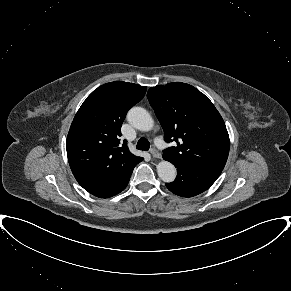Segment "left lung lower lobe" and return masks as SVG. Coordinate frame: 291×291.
<instances>
[{"label": "left lung lower lobe", "mask_w": 291, "mask_h": 291, "mask_svg": "<svg viewBox=\"0 0 291 291\" xmlns=\"http://www.w3.org/2000/svg\"><path fill=\"white\" fill-rule=\"evenodd\" d=\"M170 161L177 168V177L171 183H166V187L176 195L182 197H192L198 195L208 188L217 180L222 170L191 166Z\"/></svg>", "instance_id": "0a47b994"}]
</instances>
